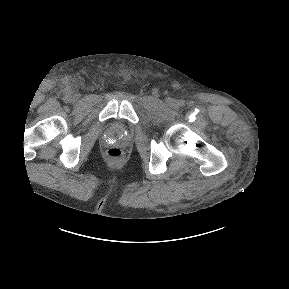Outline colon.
<instances>
[{"instance_id": "1", "label": "colon", "mask_w": 289, "mask_h": 289, "mask_svg": "<svg viewBox=\"0 0 289 289\" xmlns=\"http://www.w3.org/2000/svg\"><path fill=\"white\" fill-rule=\"evenodd\" d=\"M106 154L113 162H120L123 158V151L119 147L109 148Z\"/></svg>"}]
</instances>
